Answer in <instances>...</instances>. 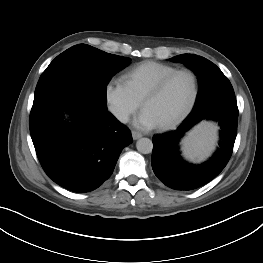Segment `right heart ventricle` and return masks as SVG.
<instances>
[{
	"instance_id": "1",
	"label": "right heart ventricle",
	"mask_w": 263,
	"mask_h": 263,
	"mask_svg": "<svg viewBox=\"0 0 263 263\" xmlns=\"http://www.w3.org/2000/svg\"><path fill=\"white\" fill-rule=\"evenodd\" d=\"M175 70H177L175 67L168 64L146 61L124 72L122 80L133 96L141 102L161 78Z\"/></svg>"
}]
</instances>
